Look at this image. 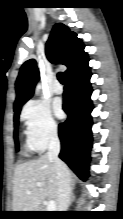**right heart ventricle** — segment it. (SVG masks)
Masks as SVG:
<instances>
[{
	"label": "right heart ventricle",
	"mask_w": 123,
	"mask_h": 219,
	"mask_svg": "<svg viewBox=\"0 0 123 219\" xmlns=\"http://www.w3.org/2000/svg\"><path fill=\"white\" fill-rule=\"evenodd\" d=\"M31 150H35V148L32 146V144L30 143L29 139H27L26 143H25V151L29 152Z\"/></svg>",
	"instance_id": "obj_1"
}]
</instances>
